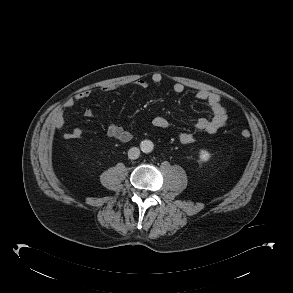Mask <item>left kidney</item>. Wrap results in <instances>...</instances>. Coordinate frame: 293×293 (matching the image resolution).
I'll list each match as a JSON object with an SVG mask.
<instances>
[{
	"label": "left kidney",
	"mask_w": 293,
	"mask_h": 293,
	"mask_svg": "<svg viewBox=\"0 0 293 293\" xmlns=\"http://www.w3.org/2000/svg\"><path fill=\"white\" fill-rule=\"evenodd\" d=\"M199 157L201 161L206 162L210 159L211 154L207 150L202 149L199 152Z\"/></svg>",
	"instance_id": "1"
}]
</instances>
